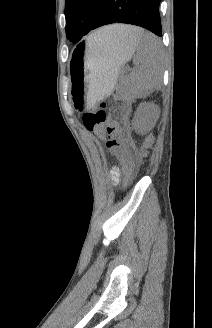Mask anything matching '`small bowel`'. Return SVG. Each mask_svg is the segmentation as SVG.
Segmentation results:
<instances>
[{
	"label": "small bowel",
	"mask_w": 212,
	"mask_h": 328,
	"mask_svg": "<svg viewBox=\"0 0 212 328\" xmlns=\"http://www.w3.org/2000/svg\"><path fill=\"white\" fill-rule=\"evenodd\" d=\"M111 181L113 184H117L120 178V170L117 167H114L110 173Z\"/></svg>",
	"instance_id": "small-bowel-1"
}]
</instances>
